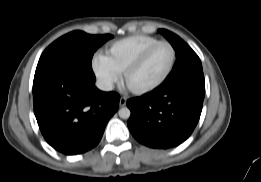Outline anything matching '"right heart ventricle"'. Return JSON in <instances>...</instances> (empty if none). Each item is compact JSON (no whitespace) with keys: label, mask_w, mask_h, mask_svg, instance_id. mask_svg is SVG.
<instances>
[{"label":"right heart ventricle","mask_w":261,"mask_h":182,"mask_svg":"<svg viewBox=\"0 0 261 182\" xmlns=\"http://www.w3.org/2000/svg\"><path fill=\"white\" fill-rule=\"evenodd\" d=\"M158 42L160 40L145 35L127 37L112 43L106 56L117 72L123 73L146 49Z\"/></svg>","instance_id":"right-heart-ventricle-1"}]
</instances>
